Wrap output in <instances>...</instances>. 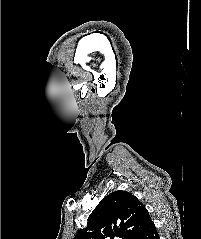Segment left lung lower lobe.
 <instances>
[{
  "label": "left lung lower lobe",
  "instance_id": "1",
  "mask_svg": "<svg viewBox=\"0 0 201 239\" xmlns=\"http://www.w3.org/2000/svg\"><path fill=\"white\" fill-rule=\"evenodd\" d=\"M134 239H159V234L152 220L145 225Z\"/></svg>",
  "mask_w": 201,
  "mask_h": 239
}]
</instances>
